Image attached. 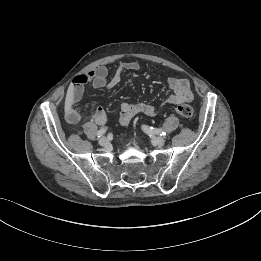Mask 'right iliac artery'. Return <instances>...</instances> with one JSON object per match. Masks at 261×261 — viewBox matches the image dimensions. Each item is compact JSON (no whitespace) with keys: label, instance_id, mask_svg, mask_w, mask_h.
<instances>
[{"label":"right iliac artery","instance_id":"1","mask_svg":"<svg viewBox=\"0 0 261 261\" xmlns=\"http://www.w3.org/2000/svg\"><path fill=\"white\" fill-rule=\"evenodd\" d=\"M107 128L103 127L97 132V137L100 138L103 134H105Z\"/></svg>","mask_w":261,"mask_h":261}]
</instances>
